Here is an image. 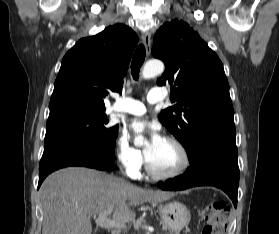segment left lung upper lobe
I'll return each instance as SVG.
<instances>
[{"instance_id": "1", "label": "left lung upper lobe", "mask_w": 279, "mask_h": 234, "mask_svg": "<svg viewBox=\"0 0 279 234\" xmlns=\"http://www.w3.org/2000/svg\"><path fill=\"white\" fill-rule=\"evenodd\" d=\"M152 54L165 63L159 86L170 84L171 101L158 119L184 146L189 161L207 140L235 137L234 110L222 62L197 32L174 19L156 32Z\"/></svg>"}]
</instances>
